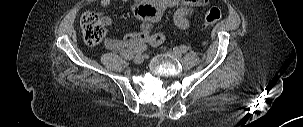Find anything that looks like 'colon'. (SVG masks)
<instances>
[{
    "label": "colon",
    "instance_id": "5ec220e1",
    "mask_svg": "<svg viewBox=\"0 0 303 127\" xmlns=\"http://www.w3.org/2000/svg\"><path fill=\"white\" fill-rule=\"evenodd\" d=\"M146 14L152 15L149 9H147ZM220 18V9L217 7H212L205 14L203 26L205 28L212 27L220 20ZM80 27L82 30L83 38L88 45L99 44L105 36L104 27L101 24L98 15L95 13H83L80 17Z\"/></svg>",
    "mask_w": 303,
    "mask_h": 127
}]
</instances>
